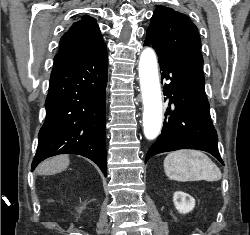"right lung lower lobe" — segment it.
Returning a JSON list of instances; mask_svg holds the SVG:
<instances>
[{"instance_id":"98d812e1","label":"right lung lower lobe","mask_w":250,"mask_h":235,"mask_svg":"<svg viewBox=\"0 0 250 235\" xmlns=\"http://www.w3.org/2000/svg\"><path fill=\"white\" fill-rule=\"evenodd\" d=\"M107 67L105 43L82 58L53 66L32 171L48 157L70 153L91 159L106 176Z\"/></svg>"}]
</instances>
